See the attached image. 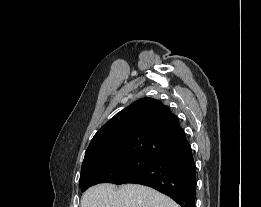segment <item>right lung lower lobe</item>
<instances>
[{
  "instance_id": "98d812e1",
  "label": "right lung lower lobe",
  "mask_w": 261,
  "mask_h": 207,
  "mask_svg": "<svg viewBox=\"0 0 261 207\" xmlns=\"http://www.w3.org/2000/svg\"><path fill=\"white\" fill-rule=\"evenodd\" d=\"M152 187L181 207H195L196 166L190 145L159 158L148 168L122 180Z\"/></svg>"
}]
</instances>
